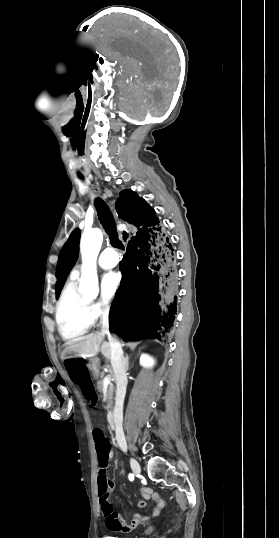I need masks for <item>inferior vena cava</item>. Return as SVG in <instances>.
<instances>
[{"label": "inferior vena cava", "instance_id": "602c4592", "mask_svg": "<svg viewBox=\"0 0 279 538\" xmlns=\"http://www.w3.org/2000/svg\"><path fill=\"white\" fill-rule=\"evenodd\" d=\"M108 313L109 310L100 311L99 316L102 314L101 319H103L102 324V334H108L107 338L111 341V359L113 364V370L115 372L116 382H117V399H116V407L114 409L115 413H113V421L116 425V438L119 446L126 451L127 449V443L124 437L123 429H122V407H123V399L126 392V385H127V376L125 372V363L127 361H123V351L121 348V342L117 340L118 335H110L109 333V324H108ZM121 343V344H120ZM109 346V344H108ZM114 361V363H113ZM127 370V369H126Z\"/></svg>", "mask_w": 279, "mask_h": 538}]
</instances>
